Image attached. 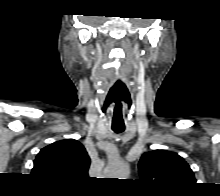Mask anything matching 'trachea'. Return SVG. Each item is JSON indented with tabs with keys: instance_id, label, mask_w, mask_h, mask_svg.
Masks as SVG:
<instances>
[{
	"instance_id": "3493384b",
	"label": "trachea",
	"mask_w": 220,
	"mask_h": 196,
	"mask_svg": "<svg viewBox=\"0 0 220 196\" xmlns=\"http://www.w3.org/2000/svg\"><path fill=\"white\" fill-rule=\"evenodd\" d=\"M112 130H113L115 133H122L125 129H124V128H112Z\"/></svg>"
}]
</instances>
